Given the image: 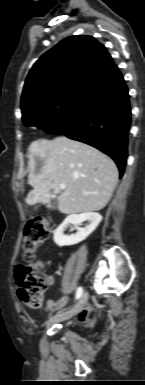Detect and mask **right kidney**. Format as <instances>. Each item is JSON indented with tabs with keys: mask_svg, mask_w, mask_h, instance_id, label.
Segmentation results:
<instances>
[{
	"mask_svg": "<svg viewBox=\"0 0 145 385\" xmlns=\"http://www.w3.org/2000/svg\"><path fill=\"white\" fill-rule=\"evenodd\" d=\"M101 220L102 216L96 212H85L81 214L69 215L55 230L53 236L54 242L59 247L78 244L79 242L86 239L97 228ZM85 221L89 222L86 227L80 228L77 226ZM69 224H73L77 229V232L70 236L64 234V231Z\"/></svg>",
	"mask_w": 145,
	"mask_h": 385,
	"instance_id": "right-kidney-1",
	"label": "right kidney"
}]
</instances>
